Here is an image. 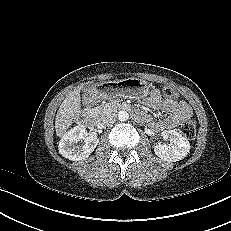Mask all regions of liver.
Returning <instances> with one entry per match:
<instances>
[{
    "label": "liver",
    "instance_id": "1",
    "mask_svg": "<svg viewBox=\"0 0 231 231\" xmlns=\"http://www.w3.org/2000/svg\"><path fill=\"white\" fill-rule=\"evenodd\" d=\"M80 106V89H76L66 96L57 111L55 118V130L58 137L62 138L68 128L72 125V121L76 118V114L80 110Z\"/></svg>",
    "mask_w": 231,
    "mask_h": 231
}]
</instances>
